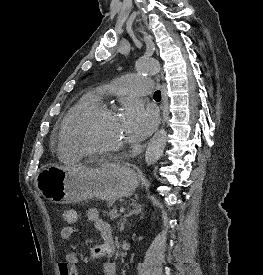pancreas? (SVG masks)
<instances>
[{
	"label": "pancreas",
	"mask_w": 263,
	"mask_h": 275,
	"mask_svg": "<svg viewBox=\"0 0 263 275\" xmlns=\"http://www.w3.org/2000/svg\"><path fill=\"white\" fill-rule=\"evenodd\" d=\"M108 216L110 219H116L120 216L116 208L111 209L109 212H107Z\"/></svg>",
	"instance_id": "obj_1"
}]
</instances>
